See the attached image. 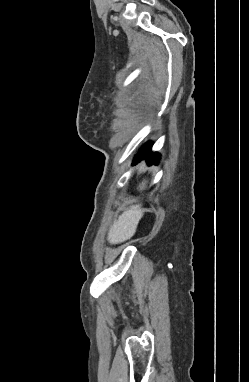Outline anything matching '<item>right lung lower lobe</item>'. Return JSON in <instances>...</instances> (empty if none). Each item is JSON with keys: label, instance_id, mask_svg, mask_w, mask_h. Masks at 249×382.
<instances>
[{"label": "right lung lower lobe", "instance_id": "98d812e1", "mask_svg": "<svg viewBox=\"0 0 249 382\" xmlns=\"http://www.w3.org/2000/svg\"><path fill=\"white\" fill-rule=\"evenodd\" d=\"M151 147H152L151 143L145 144L144 147H142V149L140 150L139 154L135 157L134 164L142 159H146V161L151 164L158 161L160 155L156 152L152 153Z\"/></svg>", "mask_w": 249, "mask_h": 382}]
</instances>
